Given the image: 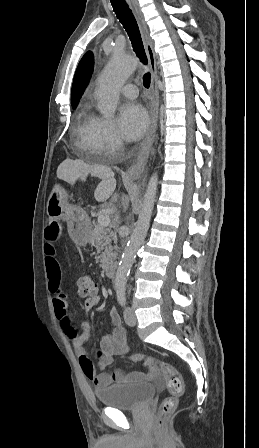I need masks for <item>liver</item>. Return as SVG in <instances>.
<instances>
[{
	"label": "liver",
	"mask_w": 259,
	"mask_h": 448,
	"mask_svg": "<svg viewBox=\"0 0 259 448\" xmlns=\"http://www.w3.org/2000/svg\"><path fill=\"white\" fill-rule=\"evenodd\" d=\"M91 174V176H97L96 170H93L91 166H86L83 160H65L62 166L57 170L58 178L61 180H67V182H75L78 178L81 180H86V176ZM111 178L114 176L113 172L110 174ZM112 188H115V180H110ZM103 184H108V182H103ZM102 186H98L97 192H100Z\"/></svg>",
	"instance_id": "obj_1"
}]
</instances>
